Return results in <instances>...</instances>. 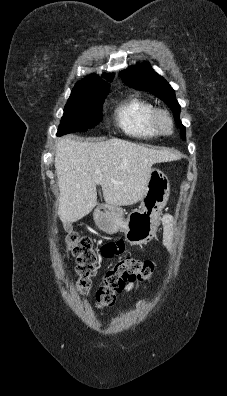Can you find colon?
<instances>
[{"mask_svg": "<svg viewBox=\"0 0 227 396\" xmlns=\"http://www.w3.org/2000/svg\"><path fill=\"white\" fill-rule=\"evenodd\" d=\"M68 250L77 260L79 279L77 288L84 293L88 290L91 278L95 273L98 253L94 249L92 240L87 236L71 233L66 239ZM154 265L149 260H141L127 256L106 271L103 283L96 291V305L98 308L109 307L114 304L116 296L121 293L128 283L152 279Z\"/></svg>", "mask_w": 227, "mask_h": 396, "instance_id": "obj_1", "label": "colon"}]
</instances>
